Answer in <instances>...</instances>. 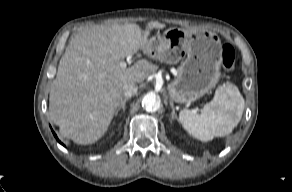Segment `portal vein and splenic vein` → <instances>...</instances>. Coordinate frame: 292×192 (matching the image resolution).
<instances>
[{
	"label": "portal vein and splenic vein",
	"mask_w": 292,
	"mask_h": 192,
	"mask_svg": "<svg viewBox=\"0 0 292 192\" xmlns=\"http://www.w3.org/2000/svg\"><path fill=\"white\" fill-rule=\"evenodd\" d=\"M119 66L122 68V69H125L127 67V63L125 61H121L119 63Z\"/></svg>",
	"instance_id": "18ae733b"
}]
</instances>
